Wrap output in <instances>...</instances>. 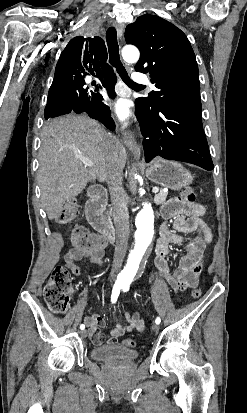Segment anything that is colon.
Wrapping results in <instances>:
<instances>
[{"label": "colon", "mask_w": 247, "mask_h": 413, "mask_svg": "<svg viewBox=\"0 0 247 413\" xmlns=\"http://www.w3.org/2000/svg\"><path fill=\"white\" fill-rule=\"evenodd\" d=\"M183 202L185 207H192L194 204V195L189 190H184L178 197ZM80 205L77 202H69L66 204L57 215V222L62 225L68 224L80 217ZM73 234V240L77 246L89 248L97 237L84 226L77 228L69 227ZM72 293L71 286V272L67 267H57L53 270L51 276L45 283L43 288V297L49 307L54 313H63L70 308V298ZM201 296V288L197 293H192V297L197 299ZM124 345L127 347L134 346L132 339H125Z\"/></svg>", "instance_id": "5ec220e1"}]
</instances>
